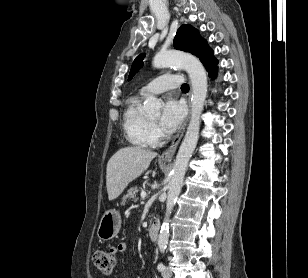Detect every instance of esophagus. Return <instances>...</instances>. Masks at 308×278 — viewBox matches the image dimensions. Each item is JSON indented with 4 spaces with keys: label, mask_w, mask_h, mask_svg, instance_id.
Returning a JSON list of instances; mask_svg holds the SVG:
<instances>
[{
    "label": "esophagus",
    "mask_w": 308,
    "mask_h": 278,
    "mask_svg": "<svg viewBox=\"0 0 308 278\" xmlns=\"http://www.w3.org/2000/svg\"><path fill=\"white\" fill-rule=\"evenodd\" d=\"M188 106H189V114L185 120V122L183 123V125L181 126L180 130L178 131V133L175 135L174 139L172 140L171 145L169 146L168 149H166L162 155H161V160L163 161H171V159L174 157L175 152L178 148V145L184 135L188 120L190 118V113H191V90L189 92V97H188Z\"/></svg>",
    "instance_id": "obj_1"
}]
</instances>
